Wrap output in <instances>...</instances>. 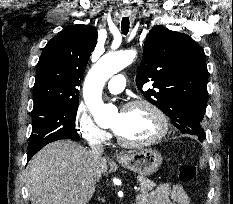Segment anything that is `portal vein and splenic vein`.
<instances>
[{
    "mask_svg": "<svg viewBox=\"0 0 233 204\" xmlns=\"http://www.w3.org/2000/svg\"><path fill=\"white\" fill-rule=\"evenodd\" d=\"M135 191H136V192L139 191V187H136V188H135Z\"/></svg>",
    "mask_w": 233,
    "mask_h": 204,
    "instance_id": "obj_1",
    "label": "portal vein and splenic vein"
}]
</instances>
